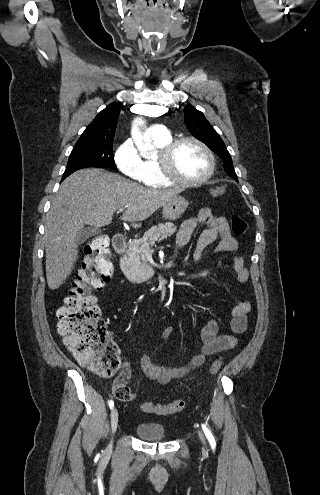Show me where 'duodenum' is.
Listing matches in <instances>:
<instances>
[{"label":"duodenum","mask_w":320,"mask_h":495,"mask_svg":"<svg viewBox=\"0 0 320 495\" xmlns=\"http://www.w3.org/2000/svg\"><path fill=\"white\" fill-rule=\"evenodd\" d=\"M113 248L116 253L123 254L126 251V240L122 235H115L112 240Z\"/></svg>","instance_id":"obj_1"}]
</instances>
